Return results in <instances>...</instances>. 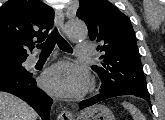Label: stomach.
Returning <instances> with one entry per match:
<instances>
[{
  "label": "stomach",
  "instance_id": "obj_1",
  "mask_svg": "<svg viewBox=\"0 0 165 120\" xmlns=\"http://www.w3.org/2000/svg\"><path fill=\"white\" fill-rule=\"evenodd\" d=\"M78 120H115V117L109 108L98 104L87 108Z\"/></svg>",
  "mask_w": 165,
  "mask_h": 120
}]
</instances>
